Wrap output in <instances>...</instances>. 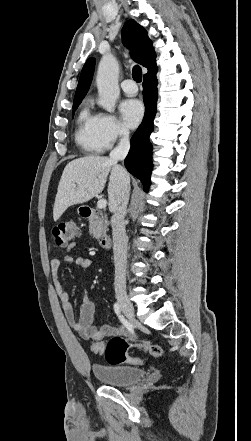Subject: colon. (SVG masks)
Listing matches in <instances>:
<instances>
[{"label":"colon","mask_w":251,"mask_h":441,"mask_svg":"<svg viewBox=\"0 0 251 441\" xmlns=\"http://www.w3.org/2000/svg\"><path fill=\"white\" fill-rule=\"evenodd\" d=\"M79 234L78 227L73 222H63L56 225L52 230V236L55 244L59 247L66 246ZM132 349L143 350L151 353L155 358H163L165 349L161 345L146 341L128 342L123 337L114 336L108 342H95L92 344V350L96 354L103 355L109 364H142L139 357L129 355Z\"/></svg>","instance_id":"5ec220e1"}]
</instances>
